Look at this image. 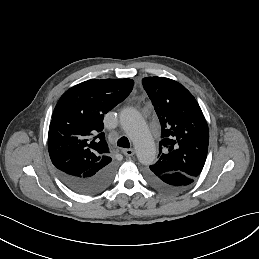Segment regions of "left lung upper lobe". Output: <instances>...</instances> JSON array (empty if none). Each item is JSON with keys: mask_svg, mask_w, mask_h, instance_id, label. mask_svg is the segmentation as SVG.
<instances>
[{"mask_svg": "<svg viewBox=\"0 0 259 259\" xmlns=\"http://www.w3.org/2000/svg\"><path fill=\"white\" fill-rule=\"evenodd\" d=\"M142 84L161 124L159 160L150 171L198 177L209 144L208 125L198 102L183 85L169 78L145 77Z\"/></svg>", "mask_w": 259, "mask_h": 259, "instance_id": "obj_1", "label": "left lung upper lobe"}]
</instances>
